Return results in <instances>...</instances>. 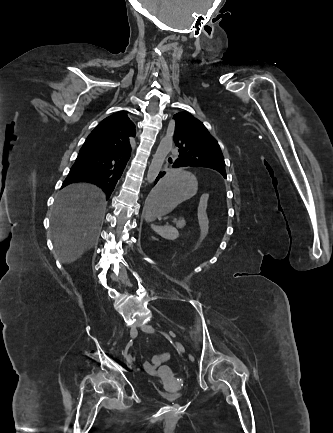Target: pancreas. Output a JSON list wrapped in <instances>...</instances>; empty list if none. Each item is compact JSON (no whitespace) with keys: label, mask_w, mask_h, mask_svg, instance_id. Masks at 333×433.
<instances>
[{"label":"pancreas","mask_w":333,"mask_h":433,"mask_svg":"<svg viewBox=\"0 0 333 433\" xmlns=\"http://www.w3.org/2000/svg\"><path fill=\"white\" fill-rule=\"evenodd\" d=\"M174 222L176 223V227L179 228V229H182L185 226V221L184 220H178V221L174 220Z\"/></svg>","instance_id":"cf45deb5"}]
</instances>
